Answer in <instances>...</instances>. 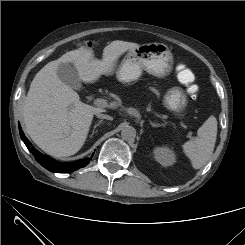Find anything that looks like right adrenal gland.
Masks as SVG:
<instances>
[{
	"label": "right adrenal gland",
	"mask_w": 245,
	"mask_h": 245,
	"mask_svg": "<svg viewBox=\"0 0 245 245\" xmlns=\"http://www.w3.org/2000/svg\"><path fill=\"white\" fill-rule=\"evenodd\" d=\"M102 120H100L98 123H96L95 125H94V128H93V130H92V133H91V135H90V138H92V136H93V134L95 133V129L100 125V124H102Z\"/></svg>",
	"instance_id": "obj_1"
}]
</instances>
